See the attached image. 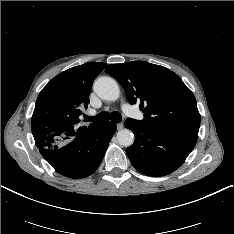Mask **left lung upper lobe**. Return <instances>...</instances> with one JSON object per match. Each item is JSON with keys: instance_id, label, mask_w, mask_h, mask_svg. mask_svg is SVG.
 <instances>
[{"instance_id": "left-lung-upper-lobe-1", "label": "left lung upper lobe", "mask_w": 234, "mask_h": 234, "mask_svg": "<svg viewBox=\"0 0 234 234\" xmlns=\"http://www.w3.org/2000/svg\"><path fill=\"white\" fill-rule=\"evenodd\" d=\"M105 71L120 82L130 104L140 102L141 123L199 129L196 99L174 72L144 61L111 64Z\"/></svg>"}]
</instances>
